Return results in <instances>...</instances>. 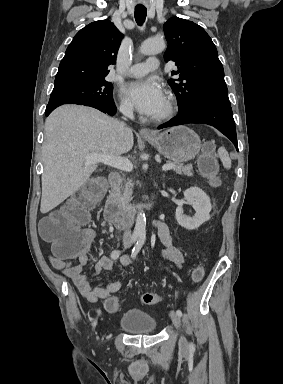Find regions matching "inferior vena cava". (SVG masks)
Wrapping results in <instances>:
<instances>
[{
	"instance_id": "1",
	"label": "inferior vena cava",
	"mask_w": 283,
	"mask_h": 384,
	"mask_svg": "<svg viewBox=\"0 0 283 384\" xmlns=\"http://www.w3.org/2000/svg\"><path fill=\"white\" fill-rule=\"evenodd\" d=\"M121 114H123V116H125L124 120H126V118H133V108L132 106H128V104H121L120 108H119ZM126 124H124V122H119V134L120 136H124L125 132H127L128 128H125ZM123 246H125V248H129V246H131V232L130 230H125L124 234H123Z\"/></svg>"
}]
</instances>
